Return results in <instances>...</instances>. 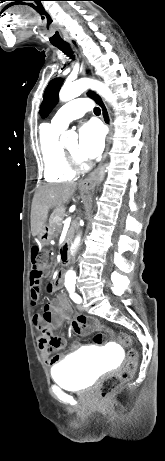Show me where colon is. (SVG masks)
<instances>
[{
    "label": "colon",
    "instance_id": "colon-1",
    "mask_svg": "<svg viewBox=\"0 0 165 461\" xmlns=\"http://www.w3.org/2000/svg\"><path fill=\"white\" fill-rule=\"evenodd\" d=\"M32 270L30 279L38 284L43 276L44 270L48 264V255L41 247H33L31 252ZM119 341L122 345L130 347L127 352V363L118 372L103 378L99 386V395L101 399H108L128 382L138 364V351L132 348V339L126 333L119 334Z\"/></svg>",
    "mask_w": 165,
    "mask_h": 461
}]
</instances>
